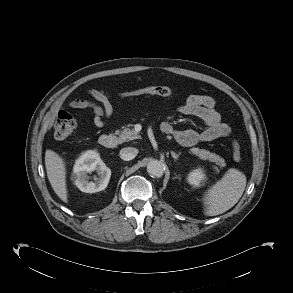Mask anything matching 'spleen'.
Listing matches in <instances>:
<instances>
[{"mask_svg": "<svg viewBox=\"0 0 293 293\" xmlns=\"http://www.w3.org/2000/svg\"><path fill=\"white\" fill-rule=\"evenodd\" d=\"M246 176L243 172L230 168L223 177L206 192L205 214L216 216L232 208L241 198L246 187Z\"/></svg>", "mask_w": 293, "mask_h": 293, "instance_id": "1", "label": "spleen"}]
</instances>
